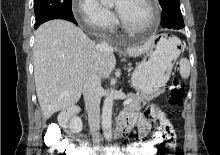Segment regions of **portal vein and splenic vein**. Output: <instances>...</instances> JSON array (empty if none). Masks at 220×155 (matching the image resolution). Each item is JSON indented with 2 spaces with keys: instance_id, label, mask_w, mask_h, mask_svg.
<instances>
[{
  "instance_id": "obj_1",
  "label": "portal vein and splenic vein",
  "mask_w": 220,
  "mask_h": 155,
  "mask_svg": "<svg viewBox=\"0 0 220 155\" xmlns=\"http://www.w3.org/2000/svg\"><path fill=\"white\" fill-rule=\"evenodd\" d=\"M68 94H66V96H67ZM131 102V99H127V100H125L124 102H123V105H127V104H129Z\"/></svg>"
}]
</instances>
